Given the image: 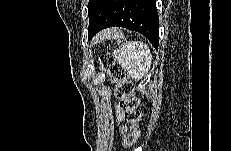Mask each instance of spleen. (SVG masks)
<instances>
[{
    "instance_id": "3e777b00",
    "label": "spleen",
    "mask_w": 231,
    "mask_h": 151,
    "mask_svg": "<svg viewBox=\"0 0 231 151\" xmlns=\"http://www.w3.org/2000/svg\"><path fill=\"white\" fill-rule=\"evenodd\" d=\"M113 54L119 64L135 80L145 77L151 68L152 54L143 42L127 41Z\"/></svg>"
}]
</instances>
